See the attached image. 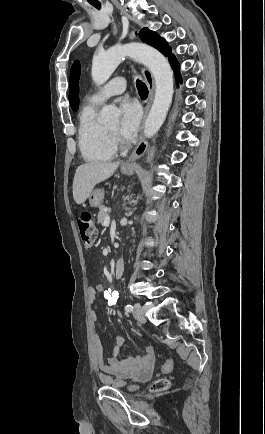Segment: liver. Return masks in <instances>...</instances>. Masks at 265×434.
Listing matches in <instances>:
<instances>
[{"label":"liver","instance_id":"1","mask_svg":"<svg viewBox=\"0 0 265 434\" xmlns=\"http://www.w3.org/2000/svg\"><path fill=\"white\" fill-rule=\"evenodd\" d=\"M120 162L113 164H96L88 162L76 170L73 180V198L76 204H83L89 198L94 186L108 180L117 170Z\"/></svg>","mask_w":265,"mask_h":434}]
</instances>
